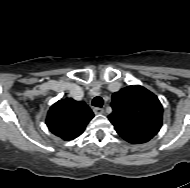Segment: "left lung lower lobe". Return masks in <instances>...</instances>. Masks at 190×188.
Returning <instances> with one entry per match:
<instances>
[{
  "instance_id": "obj_1",
  "label": "left lung lower lobe",
  "mask_w": 190,
  "mask_h": 188,
  "mask_svg": "<svg viewBox=\"0 0 190 188\" xmlns=\"http://www.w3.org/2000/svg\"><path fill=\"white\" fill-rule=\"evenodd\" d=\"M115 130L124 140L133 144L145 143L153 138L151 135L134 133L125 129L116 128Z\"/></svg>"
}]
</instances>
